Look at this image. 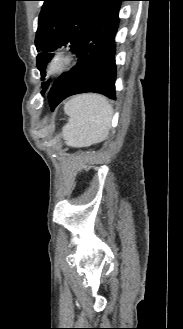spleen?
Returning a JSON list of instances; mask_svg holds the SVG:
<instances>
[{
  "instance_id": "obj_1",
  "label": "spleen",
  "mask_w": 183,
  "mask_h": 329,
  "mask_svg": "<svg viewBox=\"0 0 183 329\" xmlns=\"http://www.w3.org/2000/svg\"><path fill=\"white\" fill-rule=\"evenodd\" d=\"M64 111L69 116L64 131L68 146L89 147L107 139L113 108L106 97L92 93L76 95L65 103Z\"/></svg>"
}]
</instances>
